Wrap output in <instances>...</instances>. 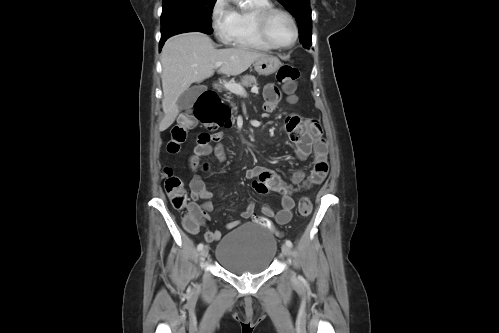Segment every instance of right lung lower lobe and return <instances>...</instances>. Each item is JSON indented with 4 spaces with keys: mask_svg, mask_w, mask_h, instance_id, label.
Here are the masks:
<instances>
[{
    "mask_svg": "<svg viewBox=\"0 0 499 333\" xmlns=\"http://www.w3.org/2000/svg\"><path fill=\"white\" fill-rule=\"evenodd\" d=\"M166 40H167V38H161V40H160V46H159L160 47V51H161V48L164 45V43H165Z\"/></svg>",
    "mask_w": 499,
    "mask_h": 333,
    "instance_id": "98d812e1",
    "label": "right lung lower lobe"
}]
</instances>
